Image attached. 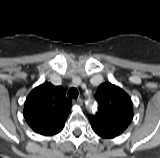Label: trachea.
<instances>
[{"label": "trachea", "mask_w": 160, "mask_h": 158, "mask_svg": "<svg viewBox=\"0 0 160 158\" xmlns=\"http://www.w3.org/2000/svg\"><path fill=\"white\" fill-rule=\"evenodd\" d=\"M67 95L70 98L77 99V97H78V90L76 88H70V90L68 91Z\"/></svg>", "instance_id": "obj_1"}]
</instances>
